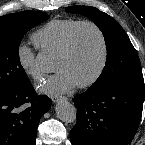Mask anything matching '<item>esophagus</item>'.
<instances>
[{
    "instance_id": "34e87169",
    "label": "esophagus",
    "mask_w": 145,
    "mask_h": 145,
    "mask_svg": "<svg viewBox=\"0 0 145 145\" xmlns=\"http://www.w3.org/2000/svg\"><path fill=\"white\" fill-rule=\"evenodd\" d=\"M51 99H52V101H53L54 103H56V102H58V101H60V100H62V99L66 100L67 98L64 97V96L54 95V96L51 97Z\"/></svg>"
}]
</instances>
